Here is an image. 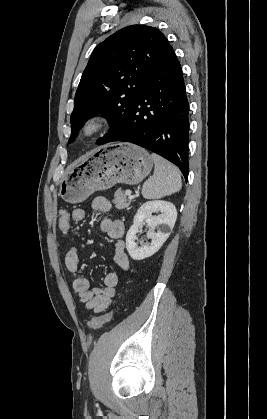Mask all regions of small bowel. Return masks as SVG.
I'll list each match as a JSON object with an SVG mask.
<instances>
[{
	"instance_id": "obj_1",
	"label": "small bowel",
	"mask_w": 267,
	"mask_h": 419,
	"mask_svg": "<svg viewBox=\"0 0 267 419\" xmlns=\"http://www.w3.org/2000/svg\"><path fill=\"white\" fill-rule=\"evenodd\" d=\"M90 209L96 213H108L111 210L110 202L104 197H96L92 200ZM86 217V211L75 209L71 214V224H75ZM101 230L113 240L114 262L123 271L129 268V258L125 252V244L122 241L124 225L120 220L107 216L100 223ZM67 269L74 275L72 287L74 293L87 309L95 313L104 311L111 303L116 294L119 284V275L115 271L108 272L104 277V288L92 287L90 281L80 275L79 250L76 246H70L64 257Z\"/></svg>"
}]
</instances>
